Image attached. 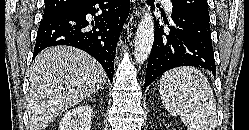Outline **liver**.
I'll use <instances>...</instances> for the list:
<instances>
[{
  "label": "liver",
  "mask_w": 249,
  "mask_h": 130,
  "mask_svg": "<svg viewBox=\"0 0 249 130\" xmlns=\"http://www.w3.org/2000/svg\"><path fill=\"white\" fill-rule=\"evenodd\" d=\"M106 81L103 67L82 50L69 46L43 50L30 68V130H45L60 114L98 92Z\"/></svg>",
  "instance_id": "obj_1"
}]
</instances>
